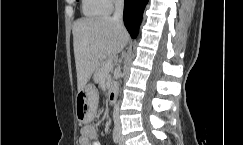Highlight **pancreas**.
Returning a JSON list of instances; mask_svg holds the SVG:
<instances>
[{"mask_svg": "<svg viewBox=\"0 0 243 145\" xmlns=\"http://www.w3.org/2000/svg\"><path fill=\"white\" fill-rule=\"evenodd\" d=\"M107 60L103 59L99 62L96 71H95V75H94V79L95 81L99 82L102 79L103 75H106L108 72H110L111 70H109L107 73L104 72V66L106 64Z\"/></svg>", "mask_w": 243, "mask_h": 145, "instance_id": "pancreas-1", "label": "pancreas"}]
</instances>
